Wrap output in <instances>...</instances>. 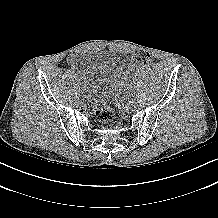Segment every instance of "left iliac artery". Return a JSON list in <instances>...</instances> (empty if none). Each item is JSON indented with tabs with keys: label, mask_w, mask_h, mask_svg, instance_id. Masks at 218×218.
Returning <instances> with one entry per match:
<instances>
[{
	"label": "left iliac artery",
	"mask_w": 218,
	"mask_h": 218,
	"mask_svg": "<svg viewBox=\"0 0 218 218\" xmlns=\"http://www.w3.org/2000/svg\"><path fill=\"white\" fill-rule=\"evenodd\" d=\"M134 93H129L127 96L130 98V97H134L133 95Z\"/></svg>",
	"instance_id": "1"
}]
</instances>
